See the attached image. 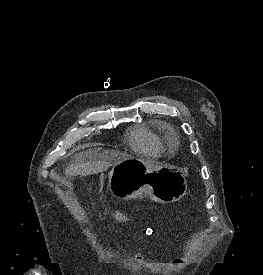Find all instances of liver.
Here are the masks:
<instances>
[{
	"mask_svg": "<svg viewBox=\"0 0 263 275\" xmlns=\"http://www.w3.org/2000/svg\"><path fill=\"white\" fill-rule=\"evenodd\" d=\"M90 152L79 155L77 162L72 163L65 169V174L69 176H88L107 170L110 166L122 160L130 158L126 153L119 151L105 152L98 160L87 159Z\"/></svg>",
	"mask_w": 263,
	"mask_h": 275,
	"instance_id": "obj_1",
	"label": "liver"
}]
</instances>
